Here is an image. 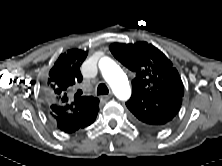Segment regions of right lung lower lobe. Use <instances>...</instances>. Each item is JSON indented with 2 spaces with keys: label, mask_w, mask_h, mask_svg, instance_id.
Masks as SVG:
<instances>
[{
  "label": "right lung lower lobe",
  "mask_w": 222,
  "mask_h": 166,
  "mask_svg": "<svg viewBox=\"0 0 222 166\" xmlns=\"http://www.w3.org/2000/svg\"><path fill=\"white\" fill-rule=\"evenodd\" d=\"M66 106L69 107V105H52L53 109H50V116L53 122L58 126V128L67 133L75 132L79 128H84L90 125L94 122L98 113V111H96L95 114L90 118L89 122L85 123L79 119L77 120L76 116L73 113L69 112Z\"/></svg>",
  "instance_id": "98d812e1"
}]
</instances>
